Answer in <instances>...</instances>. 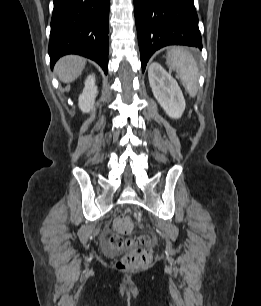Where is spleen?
I'll list each match as a JSON object with an SVG mask.
<instances>
[{
  "mask_svg": "<svg viewBox=\"0 0 261 306\" xmlns=\"http://www.w3.org/2000/svg\"><path fill=\"white\" fill-rule=\"evenodd\" d=\"M167 64L176 71L185 89L195 97L198 89V66L193 55L184 48L173 47L167 52Z\"/></svg>",
  "mask_w": 261,
  "mask_h": 306,
  "instance_id": "spleen-1",
  "label": "spleen"
}]
</instances>
